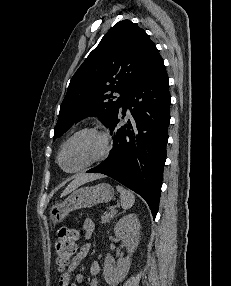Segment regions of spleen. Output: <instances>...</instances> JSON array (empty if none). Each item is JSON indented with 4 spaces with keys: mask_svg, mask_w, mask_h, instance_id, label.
<instances>
[{
    "mask_svg": "<svg viewBox=\"0 0 231 286\" xmlns=\"http://www.w3.org/2000/svg\"><path fill=\"white\" fill-rule=\"evenodd\" d=\"M116 188H117V191L120 193L122 208L124 210L130 209L135 203L134 194L120 185H117Z\"/></svg>",
    "mask_w": 231,
    "mask_h": 286,
    "instance_id": "1",
    "label": "spleen"
}]
</instances>
